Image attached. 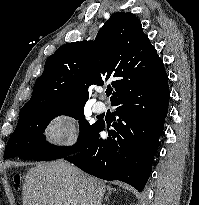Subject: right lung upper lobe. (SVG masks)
Returning a JSON list of instances; mask_svg holds the SVG:
<instances>
[{
	"label": "right lung upper lobe",
	"mask_w": 199,
	"mask_h": 205,
	"mask_svg": "<svg viewBox=\"0 0 199 205\" xmlns=\"http://www.w3.org/2000/svg\"><path fill=\"white\" fill-rule=\"evenodd\" d=\"M163 61L131 12L114 13L94 41L64 44L45 63L26 103L85 104L93 86L112 81L111 102L143 77L164 71ZM25 104V105H26Z\"/></svg>",
	"instance_id": "cb5924a9"
}]
</instances>
